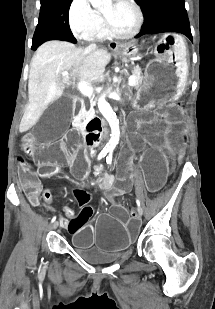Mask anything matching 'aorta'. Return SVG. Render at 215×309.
<instances>
[{
  "label": "aorta",
  "instance_id": "1",
  "mask_svg": "<svg viewBox=\"0 0 215 309\" xmlns=\"http://www.w3.org/2000/svg\"><path fill=\"white\" fill-rule=\"evenodd\" d=\"M90 2L92 6H94V8H98V10H101V8H109L112 4V0H90ZM98 108L111 126L112 134L109 142H107V146L108 148H115L116 144H118L120 136L119 122H117L116 112L112 110V106H110L109 102H107L105 94H101V96H99Z\"/></svg>",
  "mask_w": 215,
  "mask_h": 309
}]
</instances>
